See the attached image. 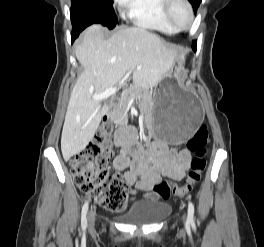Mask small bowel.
I'll list each match as a JSON object with an SVG mask.
<instances>
[{"mask_svg": "<svg viewBox=\"0 0 264 247\" xmlns=\"http://www.w3.org/2000/svg\"><path fill=\"white\" fill-rule=\"evenodd\" d=\"M138 138L137 130L131 126L116 130L119 152L113 164L115 169L125 172L128 185L133 187L130 195L142 192L155 199L153 188L163 177L173 181L184 178L190 165V152L169 147L159 139H154L146 150Z\"/></svg>", "mask_w": 264, "mask_h": 247, "instance_id": "1", "label": "small bowel"}]
</instances>
